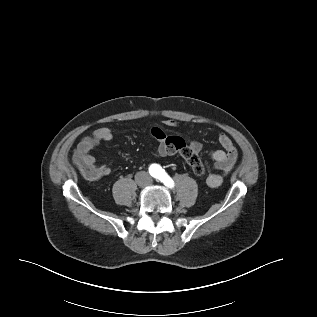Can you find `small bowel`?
<instances>
[{
	"label": "small bowel",
	"mask_w": 317,
	"mask_h": 317,
	"mask_svg": "<svg viewBox=\"0 0 317 317\" xmlns=\"http://www.w3.org/2000/svg\"><path fill=\"white\" fill-rule=\"evenodd\" d=\"M162 124L167 127H177L178 121L174 119H164ZM151 135L159 141L157 147V154L160 157H165L177 153V150L189 148L194 153L199 154L202 150V144L193 140L189 144L179 136H166L161 127H153ZM114 138V132L109 127H99L95 129L89 136H86L78 145L74 154L75 161L79 164L81 162L92 165L95 175L92 179H101L111 173V169L104 164H96L95 157L92 152L102 142L111 141ZM220 150L211 153L213 165L215 169L221 173H210L206 178V185L210 188H216L223 182V176L228 174L237 159V149L233 141L226 135L220 134L218 137Z\"/></svg>",
	"instance_id": "1"
}]
</instances>
